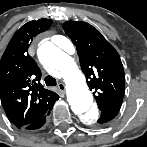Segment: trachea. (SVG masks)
Segmentation results:
<instances>
[{"mask_svg":"<svg viewBox=\"0 0 147 147\" xmlns=\"http://www.w3.org/2000/svg\"><path fill=\"white\" fill-rule=\"evenodd\" d=\"M45 83L47 86H55L57 84L56 79L50 75L45 77Z\"/></svg>","mask_w":147,"mask_h":147,"instance_id":"trachea-1","label":"trachea"}]
</instances>
